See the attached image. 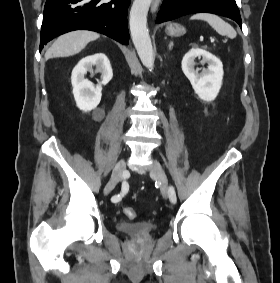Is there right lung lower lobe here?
Instances as JSON below:
<instances>
[{
  "label": "right lung lower lobe",
  "instance_id": "98d812e1",
  "mask_svg": "<svg viewBox=\"0 0 280 283\" xmlns=\"http://www.w3.org/2000/svg\"><path fill=\"white\" fill-rule=\"evenodd\" d=\"M131 0H47L40 51L53 38L73 30H92L129 43L127 11Z\"/></svg>",
  "mask_w": 280,
  "mask_h": 283
}]
</instances>
